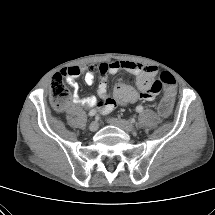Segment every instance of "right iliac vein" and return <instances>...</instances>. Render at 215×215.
I'll list each match as a JSON object with an SVG mask.
<instances>
[{
	"mask_svg": "<svg viewBox=\"0 0 215 215\" xmlns=\"http://www.w3.org/2000/svg\"><path fill=\"white\" fill-rule=\"evenodd\" d=\"M98 128H99V124L96 121L91 122L89 125V130L92 132L97 131Z\"/></svg>",
	"mask_w": 215,
	"mask_h": 215,
	"instance_id": "obj_1",
	"label": "right iliac vein"
}]
</instances>
